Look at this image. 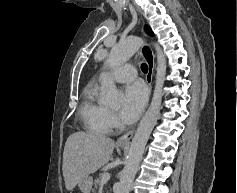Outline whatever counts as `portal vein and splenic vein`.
<instances>
[{"label":"portal vein and splenic vein","mask_w":237,"mask_h":193,"mask_svg":"<svg viewBox=\"0 0 237 193\" xmlns=\"http://www.w3.org/2000/svg\"><path fill=\"white\" fill-rule=\"evenodd\" d=\"M110 179V173L106 172L103 174L101 182H107Z\"/></svg>","instance_id":"portal-vein-and-splenic-vein-1"}]
</instances>
